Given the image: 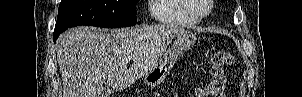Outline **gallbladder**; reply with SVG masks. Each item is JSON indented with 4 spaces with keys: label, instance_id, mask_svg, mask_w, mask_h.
Returning <instances> with one entry per match:
<instances>
[{
    "label": "gallbladder",
    "instance_id": "1",
    "mask_svg": "<svg viewBox=\"0 0 302 97\" xmlns=\"http://www.w3.org/2000/svg\"><path fill=\"white\" fill-rule=\"evenodd\" d=\"M111 93V89L109 86H105L103 87L101 93H100V97H108Z\"/></svg>",
    "mask_w": 302,
    "mask_h": 97
}]
</instances>
